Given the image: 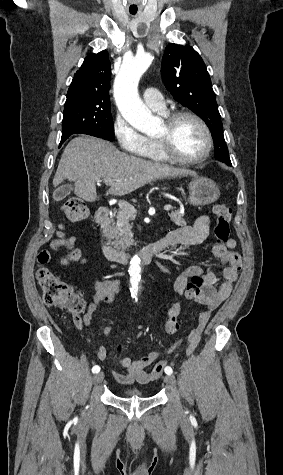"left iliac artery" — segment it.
<instances>
[{"label": "left iliac artery", "instance_id": "obj_1", "mask_svg": "<svg viewBox=\"0 0 283 475\" xmlns=\"http://www.w3.org/2000/svg\"><path fill=\"white\" fill-rule=\"evenodd\" d=\"M165 373H166L167 375H171V374L173 373L172 368L169 367V366H167V367L165 368Z\"/></svg>", "mask_w": 283, "mask_h": 475}]
</instances>
